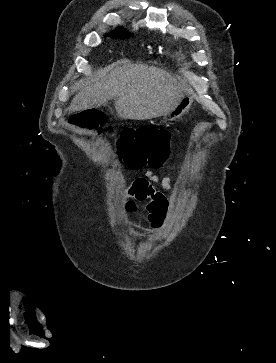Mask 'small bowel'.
Here are the masks:
<instances>
[{"instance_id": "small-bowel-1", "label": "small bowel", "mask_w": 276, "mask_h": 363, "mask_svg": "<svg viewBox=\"0 0 276 363\" xmlns=\"http://www.w3.org/2000/svg\"><path fill=\"white\" fill-rule=\"evenodd\" d=\"M160 184L165 191H171L172 179L170 176L159 177L148 170L142 177L136 178L129 188V198L132 200L128 208L135 211V202H148L147 210L151 221L159 220L162 213L167 209V198L165 194L156 188Z\"/></svg>"}]
</instances>
